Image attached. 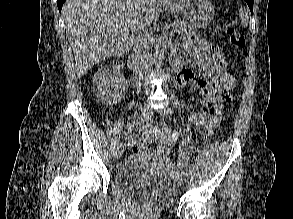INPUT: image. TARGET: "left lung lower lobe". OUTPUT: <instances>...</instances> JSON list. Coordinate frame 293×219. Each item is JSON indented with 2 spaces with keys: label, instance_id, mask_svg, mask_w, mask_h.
I'll use <instances>...</instances> for the list:
<instances>
[{
  "label": "left lung lower lobe",
  "instance_id": "0a47b994",
  "mask_svg": "<svg viewBox=\"0 0 293 219\" xmlns=\"http://www.w3.org/2000/svg\"><path fill=\"white\" fill-rule=\"evenodd\" d=\"M250 8L251 13H253V1L254 0H245Z\"/></svg>",
  "mask_w": 293,
  "mask_h": 219
}]
</instances>
